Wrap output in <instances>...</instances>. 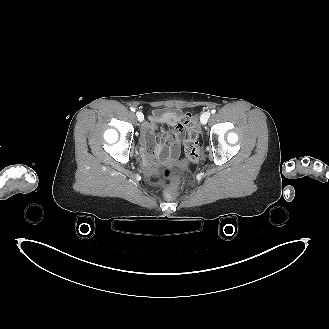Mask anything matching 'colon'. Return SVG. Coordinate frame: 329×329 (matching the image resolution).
Instances as JSON below:
<instances>
[{
	"mask_svg": "<svg viewBox=\"0 0 329 329\" xmlns=\"http://www.w3.org/2000/svg\"><path fill=\"white\" fill-rule=\"evenodd\" d=\"M181 127L184 131L186 155L191 162H196L200 157V148L198 146L200 132L191 113L183 115ZM160 175L170 184L167 196L171 198L175 196L176 188L189 186L194 183L193 174L183 165L177 168L164 167L160 171Z\"/></svg>",
	"mask_w": 329,
	"mask_h": 329,
	"instance_id": "colon-1",
	"label": "colon"
}]
</instances>
